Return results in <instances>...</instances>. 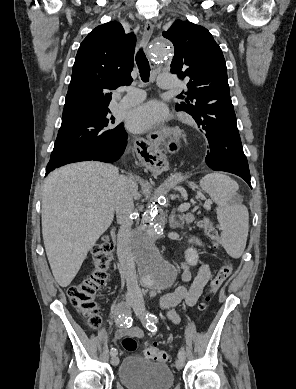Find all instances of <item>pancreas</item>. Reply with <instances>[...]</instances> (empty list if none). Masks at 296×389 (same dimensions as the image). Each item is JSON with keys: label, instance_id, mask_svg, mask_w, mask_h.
Listing matches in <instances>:
<instances>
[{"label": "pancreas", "instance_id": "obj_1", "mask_svg": "<svg viewBox=\"0 0 296 389\" xmlns=\"http://www.w3.org/2000/svg\"><path fill=\"white\" fill-rule=\"evenodd\" d=\"M180 220L182 221V224H189L194 221V216L192 213L182 214Z\"/></svg>", "mask_w": 296, "mask_h": 389}]
</instances>
